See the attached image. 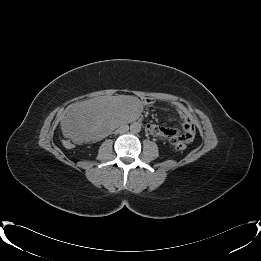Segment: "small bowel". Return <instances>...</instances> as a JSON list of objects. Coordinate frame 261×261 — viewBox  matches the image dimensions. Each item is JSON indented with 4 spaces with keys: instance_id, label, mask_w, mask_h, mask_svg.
Wrapping results in <instances>:
<instances>
[{
    "instance_id": "obj_1",
    "label": "small bowel",
    "mask_w": 261,
    "mask_h": 261,
    "mask_svg": "<svg viewBox=\"0 0 261 261\" xmlns=\"http://www.w3.org/2000/svg\"><path fill=\"white\" fill-rule=\"evenodd\" d=\"M174 109L182 121V132L173 128H168L157 124H148L146 126V130L152 136L160 139H166L172 141L173 138L180 136L186 142L192 141L195 136V124L193 122L191 115L180 104L175 103Z\"/></svg>"
}]
</instances>
